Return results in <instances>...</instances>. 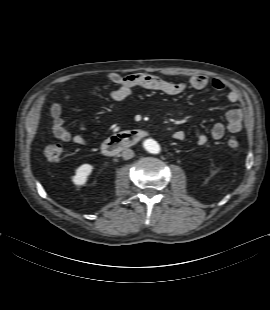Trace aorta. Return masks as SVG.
<instances>
[{"mask_svg":"<svg viewBox=\"0 0 270 310\" xmlns=\"http://www.w3.org/2000/svg\"><path fill=\"white\" fill-rule=\"evenodd\" d=\"M145 149L152 154H158L160 152V145L153 139H147L144 141Z\"/></svg>","mask_w":270,"mask_h":310,"instance_id":"obj_1","label":"aorta"}]
</instances>
